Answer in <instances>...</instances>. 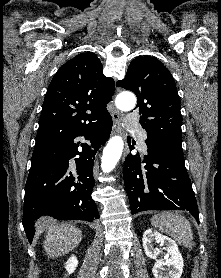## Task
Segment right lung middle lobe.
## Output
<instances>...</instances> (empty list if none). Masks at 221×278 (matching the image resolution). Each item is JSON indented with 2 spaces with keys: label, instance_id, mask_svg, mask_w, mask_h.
Listing matches in <instances>:
<instances>
[{
  "label": "right lung middle lobe",
  "instance_id": "obj_1",
  "mask_svg": "<svg viewBox=\"0 0 221 278\" xmlns=\"http://www.w3.org/2000/svg\"><path fill=\"white\" fill-rule=\"evenodd\" d=\"M37 152H38V150H35L34 153H33V155H32V157L37 156Z\"/></svg>",
  "mask_w": 221,
  "mask_h": 278
}]
</instances>
